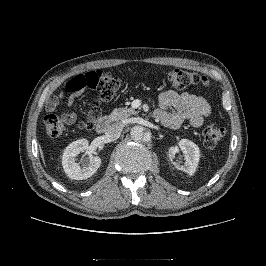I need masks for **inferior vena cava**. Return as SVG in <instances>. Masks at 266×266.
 Segmentation results:
<instances>
[{"instance_id": "1", "label": "inferior vena cava", "mask_w": 266, "mask_h": 266, "mask_svg": "<svg viewBox=\"0 0 266 266\" xmlns=\"http://www.w3.org/2000/svg\"><path fill=\"white\" fill-rule=\"evenodd\" d=\"M123 124L120 122L112 123L108 126L105 135L110 141L118 139L121 135Z\"/></svg>"}]
</instances>
